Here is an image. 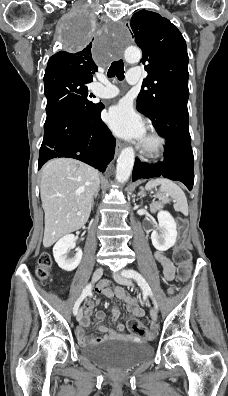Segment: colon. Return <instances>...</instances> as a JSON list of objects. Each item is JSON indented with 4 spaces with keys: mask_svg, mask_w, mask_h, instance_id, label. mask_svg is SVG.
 <instances>
[{
    "mask_svg": "<svg viewBox=\"0 0 228 396\" xmlns=\"http://www.w3.org/2000/svg\"><path fill=\"white\" fill-rule=\"evenodd\" d=\"M186 222L179 219L177 222L178 239L174 249L173 259L178 267L181 280H187L191 274V254L186 239ZM52 267V259L48 253H42L38 259L37 276L41 281L48 279ZM128 328L133 334L143 339L151 340L154 334L136 319L128 321Z\"/></svg>",
    "mask_w": 228,
    "mask_h": 396,
    "instance_id": "obj_1",
    "label": "colon"
}]
</instances>
